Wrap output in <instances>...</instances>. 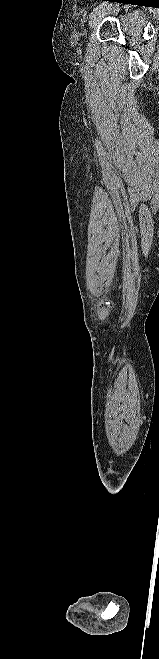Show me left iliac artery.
I'll use <instances>...</instances> for the list:
<instances>
[{
  "mask_svg": "<svg viewBox=\"0 0 159 659\" xmlns=\"http://www.w3.org/2000/svg\"><path fill=\"white\" fill-rule=\"evenodd\" d=\"M105 5H106L105 3H100L99 5H97V6L93 9V12H92L91 14H93L94 12H96L97 10H99L100 8L104 7Z\"/></svg>",
  "mask_w": 159,
  "mask_h": 659,
  "instance_id": "1",
  "label": "left iliac artery"
}]
</instances>
